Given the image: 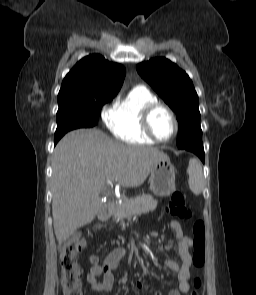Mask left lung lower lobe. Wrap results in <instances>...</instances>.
<instances>
[{
  "mask_svg": "<svg viewBox=\"0 0 256 295\" xmlns=\"http://www.w3.org/2000/svg\"><path fill=\"white\" fill-rule=\"evenodd\" d=\"M185 150L195 153L202 162H204V148L203 145L188 146L184 148Z\"/></svg>",
  "mask_w": 256,
  "mask_h": 295,
  "instance_id": "1",
  "label": "left lung lower lobe"
}]
</instances>
